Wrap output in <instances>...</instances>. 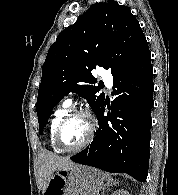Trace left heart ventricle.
Here are the masks:
<instances>
[{"label": "left heart ventricle", "instance_id": "obj_1", "mask_svg": "<svg viewBox=\"0 0 178 195\" xmlns=\"http://www.w3.org/2000/svg\"><path fill=\"white\" fill-rule=\"evenodd\" d=\"M88 135V123L83 117L70 120L64 127L61 135L62 143L69 148L80 145Z\"/></svg>", "mask_w": 178, "mask_h": 195}]
</instances>
